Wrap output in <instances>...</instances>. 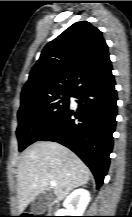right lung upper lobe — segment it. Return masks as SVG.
Segmentation results:
<instances>
[{
	"label": "right lung upper lobe",
	"instance_id": "1",
	"mask_svg": "<svg viewBox=\"0 0 132 217\" xmlns=\"http://www.w3.org/2000/svg\"><path fill=\"white\" fill-rule=\"evenodd\" d=\"M108 47L101 31L76 22L49 42L30 71L21 98L76 92L113 77Z\"/></svg>",
	"mask_w": 132,
	"mask_h": 217
}]
</instances>
